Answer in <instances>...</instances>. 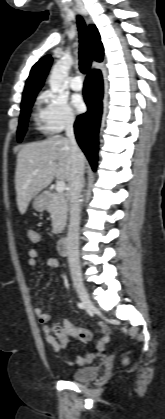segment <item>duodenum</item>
<instances>
[{
	"label": "duodenum",
	"instance_id": "obj_1",
	"mask_svg": "<svg viewBox=\"0 0 165 419\" xmlns=\"http://www.w3.org/2000/svg\"><path fill=\"white\" fill-rule=\"evenodd\" d=\"M57 249H58V253L61 256H66L67 255L68 246H67V237L66 236L60 237V239L58 240V243H57Z\"/></svg>",
	"mask_w": 165,
	"mask_h": 419
}]
</instances>
